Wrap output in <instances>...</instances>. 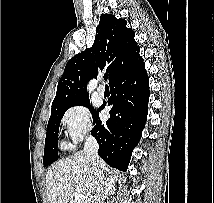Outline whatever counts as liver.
I'll use <instances>...</instances> for the list:
<instances>
[{"label": "liver", "instance_id": "6515ba94", "mask_svg": "<svg viewBox=\"0 0 214 203\" xmlns=\"http://www.w3.org/2000/svg\"><path fill=\"white\" fill-rule=\"evenodd\" d=\"M104 172H111L104 163ZM92 167L88 164L84 152L79 151L63 160L56 162L49 168L46 174V189L49 203H69L74 187L82 188L85 200L93 195V181L91 180ZM113 178H107L105 184V196L108 195V189L113 187ZM113 190L115 188L113 187ZM110 191V193L113 192Z\"/></svg>", "mask_w": 214, "mask_h": 203}]
</instances>
